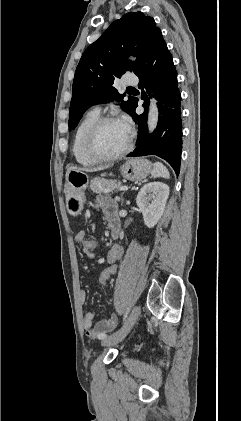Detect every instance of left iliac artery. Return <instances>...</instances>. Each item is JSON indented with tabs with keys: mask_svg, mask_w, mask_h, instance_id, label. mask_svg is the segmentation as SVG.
Segmentation results:
<instances>
[{
	"mask_svg": "<svg viewBox=\"0 0 241 421\" xmlns=\"http://www.w3.org/2000/svg\"><path fill=\"white\" fill-rule=\"evenodd\" d=\"M128 313H129V308H128L127 312H126V313H125V315H124L123 321H125V319L127 318ZM105 338H107V336H106V335L102 337V339H105Z\"/></svg>",
	"mask_w": 241,
	"mask_h": 421,
	"instance_id": "44dca946",
	"label": "left iliac artery"
}]
</instances>
